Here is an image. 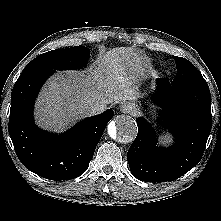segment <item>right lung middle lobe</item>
I'll return each mask as SVG.
<instances>
[{"label":"right lung middle lobe","instance_id":"1","mask_svg":"<svg viewBox=\"0 0 221 221\" xmlns=\"http://www.w3.org/2000/svg\"><path fill=\"white\" fill-rule=\"evenodd\" d=\"M90 50L85 46H75L46 52L32 60L23 71L39 68L51 70L78 69L85 66Z\"/></svg>","mask_w":221,"mask_h":221}]
</instances>
